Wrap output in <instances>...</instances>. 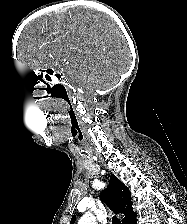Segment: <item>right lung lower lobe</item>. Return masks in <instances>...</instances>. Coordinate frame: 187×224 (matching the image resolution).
Returning a JSON list of instances; mask_svg holds the SVG:
<instances>
[{"label":"right lung lower lobe","mask_w":187,"mask_h":224,"mask_svg":"<svg viewBox=\"0 0 187 224\" xmlns=\"http://www.w3.org/2000/svg\"><path fill=\"white\" fill-rule=\"evenodd\" d=\"M130 224H136V218H134V219L130 222Z\"/></svg>","instance_id":"98d812e1"}]
</instances>
